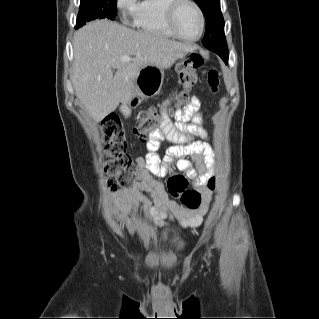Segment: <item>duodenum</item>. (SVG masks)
<instances>
[{"instance_id":"410a0bca","label":"duodenum","mask_w":319,"mask_h":319,"mask_svg":"<svg viewBox=\"0 0 319 319\" xmlns=\"http://www.w3.org/2000/svg\"><path fill=\"white\" fill-rule=\"evenodd\" d=\"M128 107L131 108V107H132V104H129ZM123 112H124V111H123Z\"/></svg>"}]
</instances>
